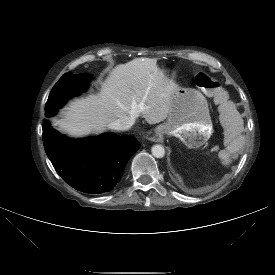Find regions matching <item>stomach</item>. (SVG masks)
Returning a JSON list of instances; mask_svg holds the SVG:
<instances>
[{
	"label": "stomach",
	"instance_id": "obj_1",
	"mask_svg": "<svg viewBox=\"0 0 275 275\" xmlns=\"http://www.w3.org/2000/svg\"><path fill=\"white\" fill-rule=\"evenodd\" d=\"M164 76L176 85L170 95V109L167 121L158 128L166 135H173L189 148L202 146L211 136L213 125L208 103L201 92L176 84L177 71L161 69Z\"/></svg>",
	"mask_w": 275,
	"mask_h": 275
}]
</instances>
